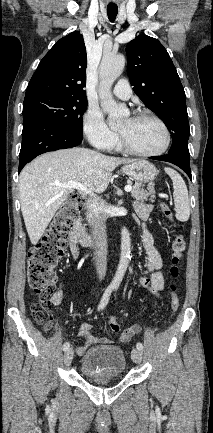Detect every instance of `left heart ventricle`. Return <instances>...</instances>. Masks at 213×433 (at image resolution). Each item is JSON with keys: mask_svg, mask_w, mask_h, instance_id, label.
Returning a JSON list of instances; mask_svg holds the SVG:
<instances>
[{"mask_svg": "<svg viewBox=\"0 0 213 433\" xmlns=\"http://www.w3.org/2000/svg\"><path fill=\"white\" fill-rule=\"evenodd\" d=\"M118 132L134 149L142 152H154L159 150L165 141L162 128L149 119L132 120L125 119Z\"/></svg>", "mask_w": 213, "mask_h": 433, "instance_id": "1", "label": "left heart ventricle"}]
</instances>
